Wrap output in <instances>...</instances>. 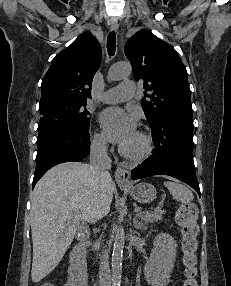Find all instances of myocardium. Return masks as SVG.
<instances>
[{"label": "myocardium", "instance_id": "obj_1", "mask_svg": "<svg viewBox=\"0 0 231 286\" xmlns=\"http://www.w3.org/2000/svg\"><path fill=\"white\" fill-rule=\"evenodd\" d=\"M137 134L142 141V147L139 151L130 152L123 146L119 148L120 153L125 158L134 162H140L147 159L152 154L153 151V142L150 135L143 131H139Z\"/></svg>", "mask_w": 231, "mask_h": 286}]
</instances>
